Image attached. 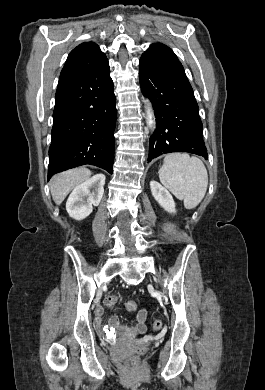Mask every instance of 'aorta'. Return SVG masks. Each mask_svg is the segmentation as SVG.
<instances>
[{"label": "aorta", "instance_id": "1", "mask_svg": "<svg viewBox=\"0 0 265 390\" xmlns=\"http://www.w3.org/2000/svg\"><path fill=\"white\" fill-rule=\"evenodd\" d=\"M146 113H147V122H148V125H149L150 127H152L154 121H153V112H152V109H151L150 104L147 105Z\"/></svg>", "mask_w": 265, "mask_h": 390}]
</instances>
